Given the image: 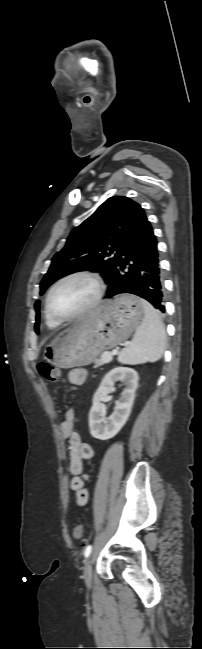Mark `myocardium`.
<instances>
[{"mask_svg": "<svg viewBox=\"0 0 202 649\" xmlns=\"http://www.w3.org/2000/svg\"><path fill=\"white\" fill-rule=\"evenodd\" d=\"M76 277L86 278V279H88L89 281H91L93 283V285L95 287L94 297L92 298V300L85 307H83L81 310H79L75 314L70 315L68 317H60V316L56 315L52 311V309L50 307L51 296H52V294L54 293V291L56 290V288L60 284H62L63 282H65V281H67L69 279L76 278ZM105 290H106L105 282H104L103 278L98 273H96L94 271H91V270H75V271L69 272V273L61 276L59 279H57L52 284L50 289L48 290L47 295L45 297V312L47 313V315L53 321H55L57 323H64V322H70V321L76 320V319L84 316L85 314L89 313L90 311H92L101 302V300H102V298L104 296Z\"/></svg>", "mask_w": 202, "mask_h": 649, "instance_id": "obj_1", "label": "myocardium"}]
</instances>
